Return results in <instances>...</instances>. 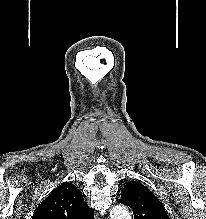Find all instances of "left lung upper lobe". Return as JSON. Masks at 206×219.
<instances>
[{
    "instance_id": "obj_1",
    "label": "left lung upper lobe",
    "mask_w": 206,
    "mask_h": 219,
    "mask_svg": "<svg viewBox=\"0 0 206 219\" xmlns=\"http://www.w3.org/2000/svg\"><path fill=\"white\" fill-rule=\"evenodd\" d=\"M119 203L132 208L134 219H169L157 197L136 181H129L125 185Z\"/></svg>"
}]
</instances>
